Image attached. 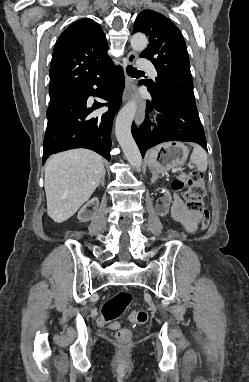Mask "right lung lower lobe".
<instances>
[{"mask_svg": "<svg viewBox=\"0 0 249 382\" xmlns=\"http://www.w3.org/2000/svg\"><path fill=\"white\" fill-rule=\"evenodd\" d=\"M94 85L98 89H94ZM123 89V70L115 68L109 59L82 87L49 106L43 164L50 155L74 148L91 149L110 160L112 120L119 109ZM90 96L108 102L90 104L87 102ZM103 106H108L109 110L96 114L95 111Z\"/></svg>", "mask_w": 249, "mask_h": 382, "instance_id": "1", "label": "right lung lower lobe"}]
</instances>
